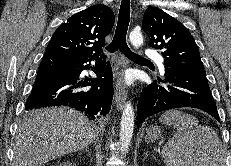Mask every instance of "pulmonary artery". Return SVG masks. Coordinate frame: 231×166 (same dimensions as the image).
<instances>
[{
  "mask_svg": "<svg viewBox=\"0 0 231 166\" xmlns=\"http://www.w3.org/2000/svg\"><path fill=\"white\" fill-rule=\"evenodd\" d=\"M145 54L148 58L156 60L161 70L164 71L163 59L160 57V55L157 52L149 50V51H146Z\"/></svg>",
  "mask_w": 231,
  "mask_h": 166,
  "instance_id": "obj_1",
  "label": "pulmonary artery"
}]
</instances>
